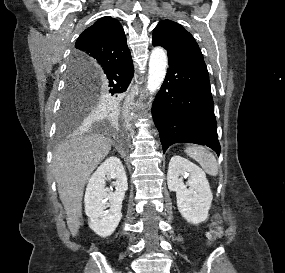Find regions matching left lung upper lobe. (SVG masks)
<instances>
[{"instance_id":"5c2ea615","label":"left lung upper lobe","mask_w":285,"mask_h":273,"mask_svg":"<svg viewBox=\"0 0 285 273\" xmlns=\"http://www.w3.org/2000/svg\"><path fill=\"white\" fill-rule=\"evenodd\" d=\"M153 37L163 39L170 44L180 46L187 51H190L203 59L201 50L192 37L180 24L171 21L163 20L154 29Z\"/></svg>"}]
</instances>
